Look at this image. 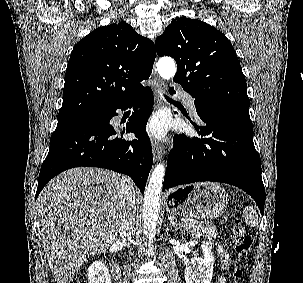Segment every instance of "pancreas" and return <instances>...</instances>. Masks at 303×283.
Instances as JSON below:
<instances>
[{"label":"pancreas","mask_w":303,"mask_h":283,"mask_svg":"<svg viewBox=\"0 0 303 283\" xmlns=\"http://www.w3.org/2000/svg\"><path fill=\"white\" fill-rule=\"evenodd\" d=\"M181 223L193 235H206L209 238H216L217 236V228L212 223L197 221L191 218H183L181 219Z\"/></svg>","instance_id":"pancreas-1"}]
</instances>
